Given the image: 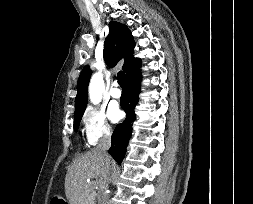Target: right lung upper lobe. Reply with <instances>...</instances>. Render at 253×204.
Returning a JSON list of instances; mask_svg holds the SVG:
<instances>
[{
    "label": "right lung upper lobe",
    "instance_id": "obj_1",
    "mask_svg": "<svg viewBox=\"0 0 253 204\" xmlns=\"http://www.w3.org/2000/svg\"><path fill=\"white\" fill-rule=\"evenodd\" d=\"M109 35L104 43V58L110 67H114L124 59L123 71L125 75L140 61L133 56L134 40L127 26L111 21ZM91 77L89 66H85L77 82V95L75 99V116L85 111L88 98V84Z\"/></svg>",
    "mask_w": 253,
    "mask_h": 204
}]
</instances>
